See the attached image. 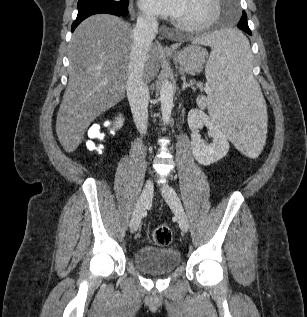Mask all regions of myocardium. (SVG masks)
<instances>
[{
	"mask_svg": "<svg viewBox=\"0 0 307 317\" xmlns=\"http://www.w3.org/2000/svg\"><path fill=\"white\" fill-rule=\"evenodd\" d=\"M208 2L213 7L212 13L210 14L208 18L197 23H182V22L176 21L175 25L178 28L182 29L183 31L189 32V33L200 32L212 26L220 15L221 4H220V0H208Z\"/></svg>",
	"mask_w": 307,
	"mask_h": 317,
	"instance_id": "obj_1",
	"label": "myocardium"
}]
</instances>
